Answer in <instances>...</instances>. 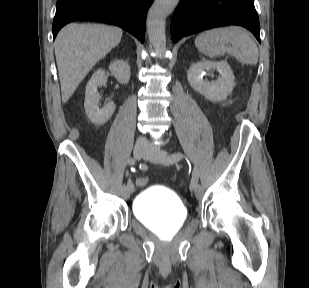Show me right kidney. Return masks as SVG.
<instances>
[{"label": "right kidney", "mask_w": 309, "mask_h": 288, "mask_svg": "<svg viewBox=\"0 0 309 288\" xmlns=\"http://www.w3.org/2000/svg\"><path fill=\"white\" fill-rule=\"evenodd\" d=\"M110 72L121 84H127L130 80V66L127 62L116 60L109 65ZM107 82L104 70L98 69L86 85L84 108L88 118L95 124L106 123L115 111V104L109 101L102 109H98L99 95L98 86H103Z\"/></svg>", "instance_id": "obj_1"}]
</instances>
